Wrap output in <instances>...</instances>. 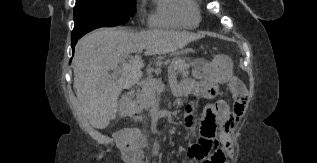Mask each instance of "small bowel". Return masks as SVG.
<instances>
[{"mask_svg": "<svg viewBox=\"0 0 317 163\" xmlns=\"http://www.w3.org/2000/svg\"><path fill=\"white\" fill-rule=\"evenodd\" d=\"M218 87L219 82L214 78H209L199 84L187 80L173 86L172 90L177 105H182L187 97L194 94L204 99H213L217 94ZM246 105L247 102L244 100L240 104H236L233 111H230L225 104L219 120L218 130L215 133L200 130L199 139L191 144L187 151V157L191 160V163H227L225 149L231 144L230 134L244 116ZM194 109L195 106L192 103L185 107V121L188 128L195 125ZM136 136L137 132L134 129H128L118 136V141L123 144V158L126 163H140L132 154Z\"/></svg>", "mask_w": 317, "mask_h": 163, "instance_id": "obj_1", "label": "small bowel"}]
</instances>
